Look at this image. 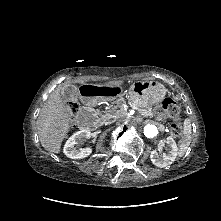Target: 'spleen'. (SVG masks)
I'll return each instance as SVG.
<instances>
[{"mask_svg": "<svg viewBox=\"0 0 221 221\" xmlns=\"http://www.w3.org/2000/svg\"><path fill=\"white\" fill-rule=\"evenodd\" d=\"M191 127L189 124H187L184 128L183 136L180 141V149L181 152L184 153L186 149L189 147L191 142Z\"/></svg>", "mask_w": 221, "mask_h": 221, "instance_id": "3e777b00", "label": "spleen"}]
</instances>
